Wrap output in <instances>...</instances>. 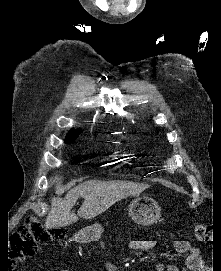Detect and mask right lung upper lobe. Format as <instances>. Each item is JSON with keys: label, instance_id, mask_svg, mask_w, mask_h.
Masks as SVG:
<instances>
[{"label": "right lung upper lobe", "instance_id": "obj_1", "mask_svg": "<svg viewBox=\"0 0 221 271\" xmlns=\"http://www.w3.org/2000/svg\"><path fill=\"white\" fill-rule=\"evenodd\" d=\"M81 132V130H71L66 137V142H72Z\"/></svg>", "mask_w": 221, "mask_h": 271}]
</instances>
